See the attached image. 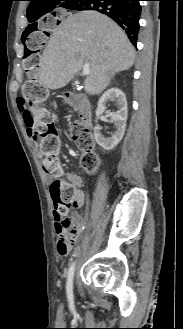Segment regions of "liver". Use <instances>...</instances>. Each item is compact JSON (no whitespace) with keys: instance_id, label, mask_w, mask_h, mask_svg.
<instances>
[{"instance_id":"liver-1","label":"liver","mask_w":183,"mask_h":329,"mask_svg":"<svg viewBox=\"0 0 183 329\" xmlns=\"http://www.w3.org/2000/svg\"><path fill=\"white\" fill-rule=\"evenodd\" d=\"M134 59V47L114 21L96 11H81L54 30L41 58L39 83L62 88L88 65L84 90L99 95L116 73L133 66Z\"/></svg>"}]
</instances>
